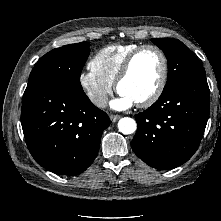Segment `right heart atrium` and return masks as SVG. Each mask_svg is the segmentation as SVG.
I'll use <instances>...</instances> for the list:
<instances>
[{
	"instance_id": "1",
	"label": "right heart atrium",
	"mask_w": 221,
	"mask_h": 221,
	"mask_svg": "<svg viewBox=\"0 0 221 221\" xmlns=\"http://www.w3.org/2000/svg\"><path fill=\"white\" fill-rule=\"evenodd\" d=\"M79 84L87 98L97 107H103L113 91V83L99 76L91 68L80 73Z\"/></svg>"
}]
</instances>
